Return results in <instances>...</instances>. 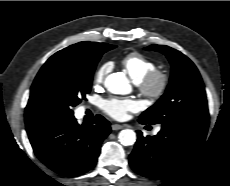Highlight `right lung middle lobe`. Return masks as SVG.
I'll return each mask as SVG.
<instances>
[{
    "label": "right lung middle lobe",
    "mask_w": 230,
    "mask_h": 186,
    "mask_svg": "<svg viewBox=\"0 0 230 186\" xmlns=\"http://www.w3.org/2000/svg\"><path fill=\"white\" fill-rule=\"evenodd\" d=\"M115 45L101 43L84 54H54L40 69L33 86L48 119L73 117L72 108L91 90L92 77L102 54Z\"/></svg>",
    "instance_id": "1"
}]
</instances>
